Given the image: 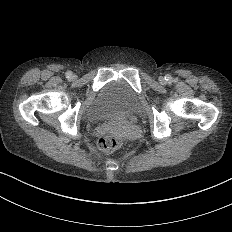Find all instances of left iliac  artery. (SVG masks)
I'll use <instances>...</instances> for the list:
<instances>
[{
  "label": "left iliac artery",
  "instance_id": "obj_1",
  "mask_svg": "<svg viewBox=\"0 0 232 232\" xmlns=\"http://www.w3.org/2000/svg\"><path fill=\"white\" fill-rule=\"evenodd\" d=\"M165 80L170 82L172 80V76L170 74H167L165 76Z\"/></svg>",
  "mask_w": 232,
  "mask_h": 232
}]
</instances>
